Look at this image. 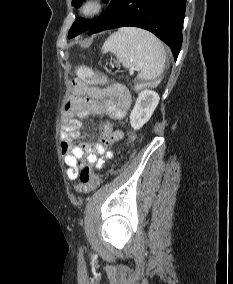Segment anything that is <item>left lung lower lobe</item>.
Returning <instances> with one entry per match:
<instances>
[{
  "instance_id": "left-lung-lower-lobe-1",
  "label": "left lung lower lobe",
  "mask_w": 233,
  "mask_h": 284,
  "mask_svg": "<svg viewBox=\"0 0 233 284\" xmlns=\"http://www.w3.org/2000/svg\"><path fill=\"white\" fill-rule=\"evenodd\" d=\"M185 7L186 0H111L88 35L124 26L143 28L164 41L176 60L182 45Z\"/></svg>"
}]
</instances>
